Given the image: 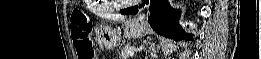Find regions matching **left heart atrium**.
Wrapping results in <instances>:
<instances>
[{
	"mask_svg": "<svg viewBox=\"0 0 261 59\" xmlns=\"http://www.w3.org/2000/svg\"><path fill=\"white\" fill-rule=\"evenodd\" d=\"M125 2L126 3H136V2H139V0H126Z\"/></svg>",
	"mask_w": 261,
	"mask_h": 59,
	"instance_id": "39dd6f15",
	"label": "left heart atrium"
}]
</instances>
